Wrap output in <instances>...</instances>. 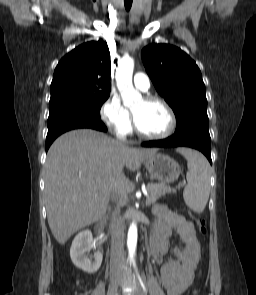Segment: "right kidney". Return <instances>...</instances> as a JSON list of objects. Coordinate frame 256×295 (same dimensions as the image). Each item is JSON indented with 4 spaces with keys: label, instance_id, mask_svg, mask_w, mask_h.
<instances>
[{
    "label": "right kidney",
    "instance_id": "ca27d5eb",
    "mask_svg": "<svg viewBox=\"0 0 256 295\" xmlns=\"http://www.w3.org/2000/svg\"><path fill=\"white\" fill-rule=\"evenodd\" d=\"M92 240V232L83 230L75 236L70 248L73 264L88 274L97 272L103 259L100 251H96L94 256H88L87 253L92 249Z\"/></svg>",
    "mask_w": 256,
    "mask_h": 295
}]
</instances>
